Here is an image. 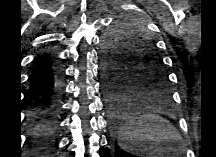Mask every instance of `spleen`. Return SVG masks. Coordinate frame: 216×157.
<instances>
[{
  "instance_id": "3e777b00",
  "label": "spleen",
  "mask_w": 216,
  "mask_h": 157,
  "mask_svg": "<svg viewBox=\"0 0 216 157\" xmlns=\"http://www.w3.org/2000/svg\"><path fill=\"white\" fill-rule=\"evenodd\" d=\"M178 141L174 127L153 114L131 118L118 135L119 146L137 156L171 150Z\"/></svg>"
}]
</instances>
